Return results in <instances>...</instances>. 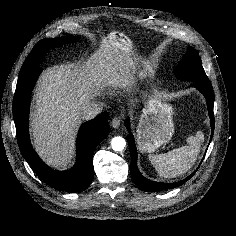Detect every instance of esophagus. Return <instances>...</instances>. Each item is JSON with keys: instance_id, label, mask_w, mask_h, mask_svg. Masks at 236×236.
Wrapping results in <instances>:
<instances>
[{"instance_id": "34e87169", "label": "esophagus", "mask_w": 236, "mask_h": 236, "mask_svg": "<svg viewBox=\"0 0 236 236\" xmlns=\"http://www.w3.org/2000/svg\"><path fill=\"white\" fill-rule=\"evenodd\" d=\"M119 126H120V119L117 117L113 118L111 121V127L117 129L119 128Z\"/></svg>"}]
</instances>
